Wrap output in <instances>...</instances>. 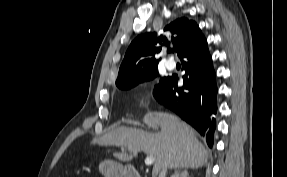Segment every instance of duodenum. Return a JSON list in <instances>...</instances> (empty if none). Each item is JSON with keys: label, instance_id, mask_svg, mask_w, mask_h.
<instances>
[{"label": "duodenum", "instance_id": "duodenum-1", "mask_svg": "<svg viewBox=\"0 0 287 177\" xmlns=\"http://www.w3.org/2000/svg\"><path fill=\"white\" fill-rule=\"evenodd\" d=\"M112 174H118L122 177H141L137 171L130 166H124L121 170L113 171Z\"/></svg>", "mask_w": 287, "mask_h": 177}]
</instances>
